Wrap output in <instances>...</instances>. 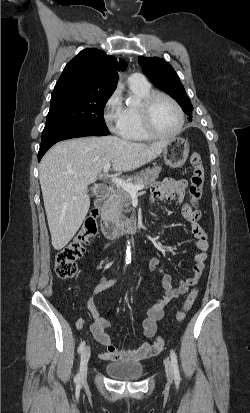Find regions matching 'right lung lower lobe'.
<instances>
[{
    "mask_svg": "<svg viewBox=\"0 0 250 413\" xmlns=\"http://www.w3.org/2000/svg\"><path fill=\"white\" fill-rule=\"evenodd\" d=\"M109 134H110L109 131H101V130L89 129V128H74V129L62 131L49 139L42 140L40 144L39 153H38V161L41 160L42 156L46 153V151L56 142L66 140V139H71V138H77V137L104 136V135H109Z\"/></svg>",
    "mask_w": 250,
    "mask_h": 413,
    "instance_id": "1",
    "label": "right lung lower lobe"
}]
</instances>
